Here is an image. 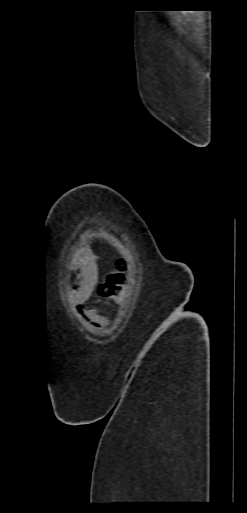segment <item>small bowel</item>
I'll use <instances>...</instances> for the list:
<instances>
[{
  "label": "small bowel",
  "instance_id": "obj_1",
  "mask_svg": "<svg viewBox=\"0 0 247 513\" xmlns=\"http://www.w3.org/2000/svg\"><path fill=\"white\" fill-rule=\"evenodd\" d=\"M68 265L73 271V280L71 287L67 290L69 299L74 303L79 312L91 323H96L104 327L107 323L102 316H97L95 312L85 306L94 291L97 281L96 264L91 258L84 256H70Z\"/></svg>",
  "mask_w": 247,
  "mask_h": 513
}]
</instances>
